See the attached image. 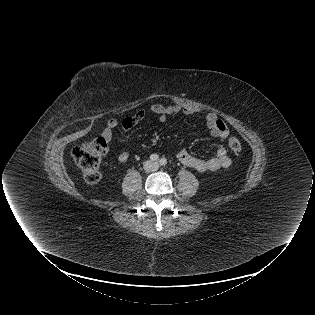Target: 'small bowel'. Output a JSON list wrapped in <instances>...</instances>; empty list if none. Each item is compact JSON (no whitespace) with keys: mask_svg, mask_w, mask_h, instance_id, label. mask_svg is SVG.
<instances>
[{"mask_svg":"<svg viewBox=\"0 0 315 315\" xmlns=\"http://www.w3.org/2000/svg\"><path fill=\"white\" fill-rule=\"evenodd\" d=\"M156 115L159 121L164 122L168 116L184 113L191 114L193 111L189 108H184L180 105H163L159 103L152 104L148 109H140L134 115L124 118L122 121L116 119H110L102 135L109 143L112 140L113 131L121 127L124 131L131 130L139 122H141L147 115V113ZM205 123L212 136L227 139L229 136V130L225 123L218 118L214 113H209L205 116ZM129 156L126 153L121 154L118 157L120 163H124L128 160ZM176 158L185 166L195 169L199 172L205 171H217L221 168H228L231 165V159L228 156L227 150L224 147H219L216 151V155L209 159H202L192 155L187 150L181 148L176 151Z\"/></svg>","mask_w":315,"mask_h":315,"instance_id":"1","label":"small bowel"}]
</instances>
